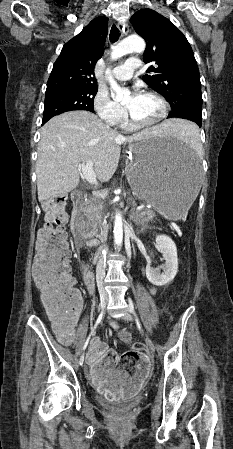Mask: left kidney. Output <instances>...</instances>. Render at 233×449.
Listing matches in <instances>:
<instances>
[{
	"label": "left kidney",
	"mask_w": 233,
	"mask_h": 449,
	"mask_svg": "<svg viewBox=\"0 0 233 449\" xmlns=\"http://www.w3.org/2000/svg\"><path fill=\"white\" fill-rule=\"evenodd\" d=\"M156 245L162 253L165 263L160 269L153 268L149 264L146 266V276L150 283L155 286H164L171 282L176 276L178 270L177 248L173 240L166 235H158L156 237Z\"/></svg>",
	"instance_id": "1"
}]
</instances>
